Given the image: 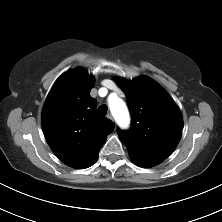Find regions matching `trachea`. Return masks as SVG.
Instances as JSON below:
<instances>
[{"label": "trachea", "instance_id": "3493384b", "mask_svg": "<svg viewBox=\"0 0 222 222\" xmlns=\"http://www.w3.org/2000/svg\"><path fill=\"white\" fill-rule=\"evenodd\" d=\"M107 110H108V108L106 105H101L98 107V113L102 116L107 114Z\"/></svg>", "mask_w": 222, "mask_h": 222}]
</instances>
